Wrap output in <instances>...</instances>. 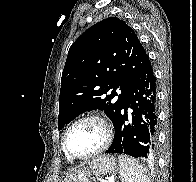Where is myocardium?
Segmentation results:
<instances>
[{"instance_id":"1","label":"myocardium","mask_w":196,"mask_h":182,"mask_svg":"<svg viewBox=\"0 0 196 182\" xmlns=\"http://www.w3.org/2000/svg\"><path fill=\"white\" fill-rule=\"evenodd\" d=\"M95 122L97 123L101 129H102V133H103V139L101 144L92 152L86 154V155H75L73 153H71L68 149V137L70 132L72 131V129L74 127H76L77 125L83 123V122ZM112 140V129L110 124L108 123V121L102 117L101 115L98 114H87L84 115L78 119H76L66 130L64 137H63V150L66 154V156H68L70 159H74V160H87L90 158H93L97 155H99L100 153H102L104 150H106L108 148V146L110 145Z\"/></svg>"}]
</instances>
